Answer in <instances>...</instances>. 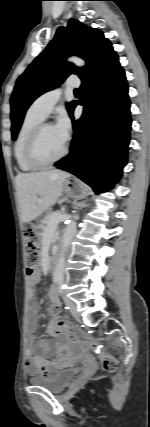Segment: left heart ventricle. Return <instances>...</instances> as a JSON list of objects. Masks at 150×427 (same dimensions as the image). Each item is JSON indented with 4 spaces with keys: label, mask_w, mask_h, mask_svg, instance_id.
Here are the masks:
<instances>
[{
    "label": "left heart ventricle",
    "mask_w": 150,
    "mask_h": 427,
    "mask_svg": "<svg viewBox=\"0 0 150 427\" xmlns=\"http://www.w3.org/2000/svg\"><path fill=\"white\" fill-rule=\"evenodd\" d=\"M65 145L66 142L62 139L55 126L47 127L39 138L36 155L41 161H50L63 151Z\"/></svg>",
    "instance_id": "left-heart-ventricle-1"
}]
</instances>
